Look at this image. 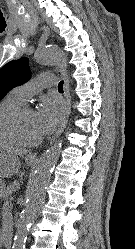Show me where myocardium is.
Here are the masks:
<instances>
[{
	"label": "myocardium",
	"instance_id": "f54148a6",
	"mask_svg": "<svg viewBox=\"0 0 135 249\" xmlns=\"http://www.w3.org/2000/svg\"><path fill=\"white\" fill-rule=\"evenodd\" d=\"M32 110L29 105L21 104L9 110L2 118L3 129L18 143L25 146H36L40 144L41 137L29 140L23 137L18 129V119L26 111Z\"/></svg>",
	"mask_w": 135,
	"mask_h": 249
}]
</instances>
